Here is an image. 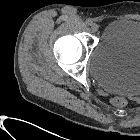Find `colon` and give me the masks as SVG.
I'll return each mask as SVG.
<instances>
[{"mask_svg": "<svg viewBox=\"0 0 140 140\" xmlns=\"http://www.w3.org/2000/svg\"><path fill=\"white\" fill-rule=\"evenodd\" d=\"M111 102L116 107H124L127 104V100L122 96L112 97Z\"/></svg>", "mask_w": 140, "mask_h": 140, "instance_id": "colon-1", "label": "colon"}]
</instances>
